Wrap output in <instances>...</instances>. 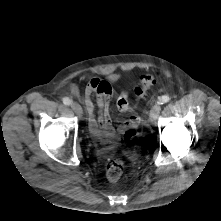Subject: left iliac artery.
Here are the masks:
<instances>
[{
	"label": "left iliac artery",
	"mask_w": 221,
	"mask_h": 221,
	"mask_svg": "<svg viewBox=\"0 0 221 221\" xmlns=\"http://www.w3.org/2000/svg\"><path fill=\"white\" fill-rule=\"evenodd\" d=\"M169 100H170L169 96L164 95L158 99V103L165 104V103L169 102Z\"/></svg>",
	"instance_id": "44dca946"
}]
</instances>
